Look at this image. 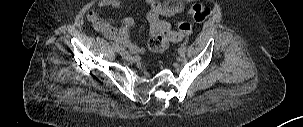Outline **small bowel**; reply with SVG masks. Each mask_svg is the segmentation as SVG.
<instances>
[{
	"mask_svg": "<svg viewBox=\"0 0 303 127\" xmlns=\"http://www.w3.org/2000/svg\"><path fill=\"white\" fill-rule=\"evenodd\" d=\"M148 7L147 21L150 26V35L154 36L165 31H170L171 26L165 17H172L184 11V6L179 2H160L158 0H144ZM121 0H102L98 8L89 11L87 18L93 28L102 33L108 40L127 48L132 54L144 52V48L130 40V31L135 26V20L125 17L120 26L116 27L110 20L101 16L105 8H120Z\"/></svg>",
	"mask_w": 303,
	"mask_h": 127,
	"instance_id": "small-bowel-1",
	"label": "small bowel"
}]
</instances>
